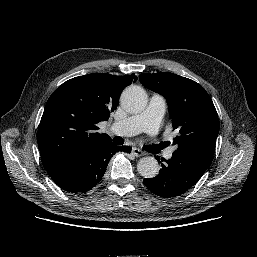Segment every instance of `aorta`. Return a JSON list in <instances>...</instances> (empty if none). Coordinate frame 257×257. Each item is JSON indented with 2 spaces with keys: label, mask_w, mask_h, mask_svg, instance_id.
Wrapping results in <instances>:
<instances>
[{
  "label": "aorta",
  "mask_w": 257,
  "mask_h": 257,
  "mask_svg": "<svg viewBox=\"0 0 257 257\" xmlns=\"http://www.w3.org/2000/svg\"><path fill=\"white\" fill-rule=\"evenodd\" d=\"M147 94L139 86H129L120 97L121 106L124 110L137 113L147 105ZM138 173L145 178H154L159 172V163L154 157H143L137 164Z\"/></svg>",
  "instance_id": "1"
}]
</instances>
